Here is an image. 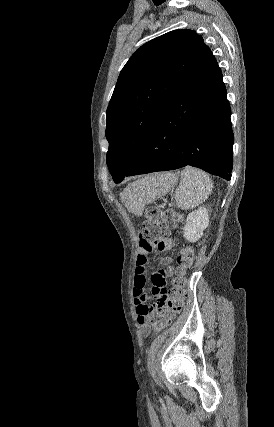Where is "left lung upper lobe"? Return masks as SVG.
Listing matches in <instances>:
<instances>
[{
  "label": "left lung upper lobe",
  "instance_id": "5c2ea615",
  "mask_svg": "<svg viewBox=\"0 0 274 427\" xmlns=\"http://www.w3.org/2000/svg\"><path fill=\"white\" fill-rule=\"evenodd\" d=\"M211 51L192 30H174L141 46L122 69L107 108V165L124 174L158 119Z\"/></svg>",
  "mask_w": 274,
  "mask_h": 427
}]
</instances>
